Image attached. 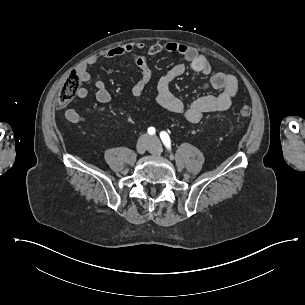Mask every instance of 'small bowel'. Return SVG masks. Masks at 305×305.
<instances>
[{
	"instance_id": "small-bowel-1",
	"label": "small bowel",
	"mask_w": 305,
	"mask_h": 305,
	"mask_svg": "<svg viewBox=\"0 0 305 305\" xmlns=\"http://www.w3.org/2000/svg\"><path fill=\"white\" fill-rule=\"evenodd\" d=\"M144 50L146 55L141 54ZM162 52L180 55L190 64L193 70L208 76L210 85L214 89L220 90V93L215 96L206 95L198 97L189 105H185L170 89L172 82L186 72V65L178 63L168 70L157 82L155 101L160 107L174 114H180L186 121L195 124L200 122L207 113L224 111L231 106L237 93L236 78L231 74L215 71L209 61L195 48L177 42H156L148 47L143 42H130L122 46L113 47L88 57L77 69V74L80 82L93 84L97 101L101 104H107L111 101V94L103 81H93L89 67L102 59L128 57L139 71V78L132 86L131 93H138L142 96L150 82L152 74L148 56H155ZM87 95L88 90L85 87L77 89L76 96L79 99H84ZM64 115L71 123H78L80 121V115L74 109H67Z\"/></svg>"
}]
</instances>
